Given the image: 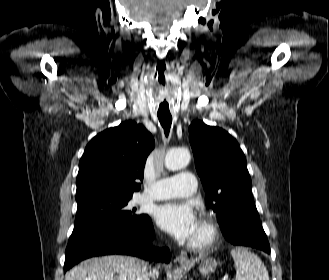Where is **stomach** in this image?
<instances>
[{"label": "stomach", "instance_id": "0dacf381", "mask_svg": "<svg viewBox=\"0 0 329 280\" xmlns=\"http://www.w3.org/2000/svg\"><path fill=\"white\" fill-rule=\"evenodd\" d=\"M217 268V262L211 258H204L200 261L198 270L203 275H209L215 272Z\"/></svg>", "mask_w": 329, "mask_h": 280}]
</instances>
